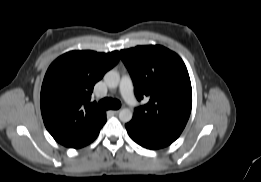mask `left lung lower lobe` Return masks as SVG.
<instances>
[{
  "label": "left lung lower lobe",
  "mask_w": 261,
  "mask_h": 182,
  "mask_svg": "<svg viewBox=\"0 0 261 182\" xmlns=\"http://www.w3.org/2000/svg\"><path fill=\"white\" fill-rule=\"evenodd\" d=\"M129 136L139 145L147 149H159L170 145L177 138L141 130L133 122L125 125Z\"/></svg>",
  "instance_id": "left-lung-lower-lobe-1"
}]
</instances>
